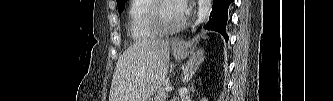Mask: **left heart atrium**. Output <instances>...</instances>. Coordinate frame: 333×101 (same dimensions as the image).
<instances>
[{
    "mask_svg": "<svg viewBox=\"0 0 333 101\" xmlns=\"http://www.w3.org/2000/svg\"><path fill=\"white\" fill-rule=\"evenodd\" d=\"M176 6L178 8V10L184 14L186 12V9H187V2L184 1V0H179V1H176Z\"/></svg>",
    "mask_w": 333,
    "mask_h": 101,
    "instance_id": "1",
    "label": "left heart atrium"
}]
</instances>
